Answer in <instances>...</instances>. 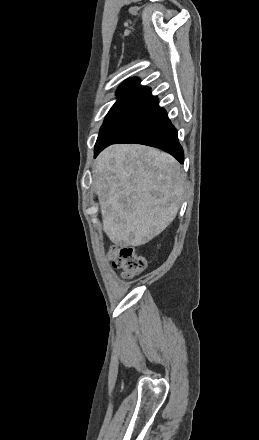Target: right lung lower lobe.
Returning <instances> with one entry per match:
<instances>
[{"label":"right lung lower lobe","mask_w":259,"mask_h":440,"mask_svg":"<svg viewBox=\"0 0 259 440\" xmlns=\"http://www.w3.org/2000/svg\"><path fill=\"white\" fill-rule=\"evenodd\" d=\"M114 143H138L162 149L180 163L184 153L177 137V130L170 122L166 111L159 106V100L147 93L137 107L104 139L95 145V157Z\"/></svg>","instance_id":"right-lung-lower-lobe-1"}]
</instances>
